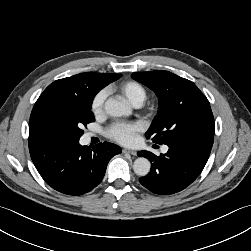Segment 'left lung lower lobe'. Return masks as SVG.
Wrapping results in <instances>:
<instances>
[{
  "mask_svg": "<svg viewBox=\"0 0 251 251\" xmlns=\"http://www.w3.org/2000/svg\"><path fill=\"white\" fill-rule=\"evenodd\" d=\"M166 154L156 156L139 151L151 162L150 173L140 183L159 195H169L187 188L202 172L212 149L213 138L196 137L167 144Z\"/></svg>",
  "mask_w": 251,
  "mask_h": 251,
  "instance_id": "left-lung-lower-lobe-1",
  "label": "left lung lower lobe"
}]
</instances>
